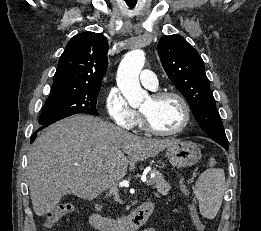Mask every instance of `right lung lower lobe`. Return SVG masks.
<instances>
[{"label":"right lung lower lobe","instance_id":"obj_1","mask_svg":"<svg viewBox=\"0 0 261 231\" xmlns=\"http://www.w3.org/2000/svg\"><path fill=\"white\" fill-rule=\"evenodd\" d=\"M53 123H54V122H53ZM50 124H52V123H49V124L43 125V126L40 127L36 132H34L33 135L31 136V142H33V141L35 140L38 131H40V130H42L43 128L49 126Z\"/></svg>","mask_w":261,"mask_h":231}]
</instances>
